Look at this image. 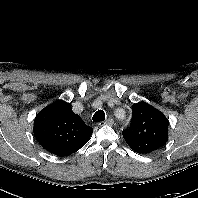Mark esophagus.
<instances>
[{
	"mask_svg": "<svg viewBox=\"0 0 198 198\" xmlns=\"http://www.w3.org/2000/svg\"><path fill=\"white\" fill-rule=\"evenodd\" d=\"M114 120L112 118H108L106 121H101L99 122V126H104V125H113Z\"/></svg>",
	"mask_w": 198,
	"mask_h": 198,
	"instance_id": "34e87169",
	"label": "esophagus"
}]
</instances>
